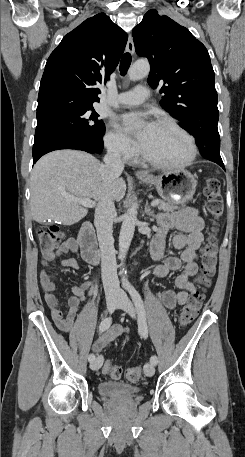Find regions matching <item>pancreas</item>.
I'll return each mask as SVG.
<instances>
[{"instance_id": "1", "label": "pancreas", "mask_w": 245, "mask_h": 457, "mask_svg": "<svg viewBox=\"0 0 245 457\" xmlns=\"http://www.w3.org/2000/svg\"><path fill=\"white\" fill-rule=\"evenodd\" d=\"M157 200H159V210H165V212H168V210H175V208H179L177 204H183V202H165V200H160V198H157Z\"/></svg>"}]
</instances>
